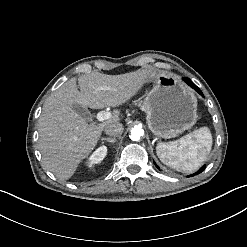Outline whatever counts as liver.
Listing matches in <instances>:
<instances>
[{
	"instance_id": "6515ba94",
	"label": "liver",
	"mask_w": 247,
	"mask_h": 247,
	"mask_svg": "<svg viewBox=\"0 0 247 247\" xmlns=\"http://www.w3.org/2000/svg\"><path fill=\"white\" fill-rule=\"evenodd\" d=\"M151 69L120 75L90 72L71 78L45 101L39 118V148L42 162L57 178H69L81 159L94 148L102 129L118 121V116L89 125L71 108L78 102L92 109L116 106L132 97L146 82Z\"/></svg>"
}]
</instances>
